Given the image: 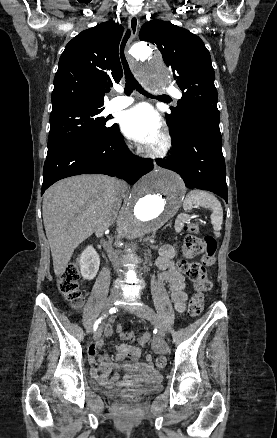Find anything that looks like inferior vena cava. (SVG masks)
<instances>
[{"label":"inferior vena cava","instance_id":"1","mask_svg":"<svg viewBox=\"0 0 277 438\" xmlns=\"http://www.w3.org/2000/svg\"><path fill=\"white\" fill-rule=\"evenodd\" d=\"M120 184H121V186H125L124 182H120ZM114 266H118V262H117V260H116Z\"/></svg>","mask_w":277,"mask_h":438}]
</instances>
